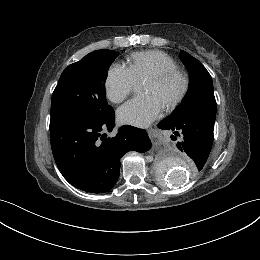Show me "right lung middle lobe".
I'll use <instances>...</instances> for the list:
<instances>
[{"label":"right lung middle lobe","instance_id":"1","mask_svg":"<svg viewBox=\"0 0 260 260\" xmlns=\"http://www.w3.org/2000/svg\"><path fill=\"white\" fill-rule=\"evenodd\" d=\"M118 53L96 50L69 65L52 94L50 125L69 121H99L113 112L105 95V81Z\"/></svg>","mask_w":260,"mask_h":260}]
</instances>
